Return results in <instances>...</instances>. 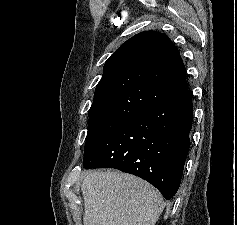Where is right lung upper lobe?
Returning <instances> with one entry per match:
<instances>
[{"mask_svg":"<svg viewBox=\"0 0 237 225\" xmlns=\"http://www.w3.org/2000/svg\"><path fill=\"white\" fill-rule=\"evenodd\" d=\"M187 91L185 67L166 34L141 32L106 61L89 120H130L155 104Z\"/></svg>","mask_w":237,"mask_h":225,"instance_id":"cb5924a9","label":"right lung upper lobe"}]
</instances>
